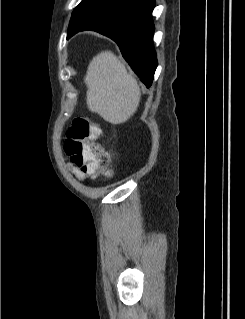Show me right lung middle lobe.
<instances>
[{"mask_svg": "<svg viewBox=\"0 0 245 319\" xmlns=\"http://www.w3.org/2000/svg\"><path fill=\"white\" fill-rule=\"evenodd\" d=\"M130 0H82L81 12L85 14V21L92 23L114 11ZM74 21L71 19L70 23Z\"/></svg>", "mask_w": 245, "mask_h": 319, "instance_id": "1", "label": "right lung middle lobe"}]
</instances>
